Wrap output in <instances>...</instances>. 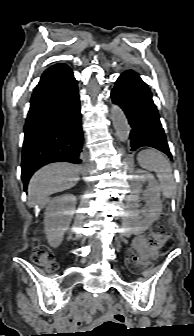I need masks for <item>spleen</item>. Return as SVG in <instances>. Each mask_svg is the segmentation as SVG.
<instances>
[{"instance_id":"1","label":"spleen","mask_w":194,"mask_h":336,"mask_svg":"<svg viewBox=\"0 0 194 336\" xmlns=\"http://www.w3.org/2000/svg\"><path fill=\"white\" fill-rule=\"evenodd\" d=\"M137 160L142 168L156 172L163 195L171 198L175 193L176 186L168 159L155 149H147L139 152Z\"/></svg>"}]
</instances>
